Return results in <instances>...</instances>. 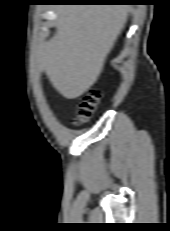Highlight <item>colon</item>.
Returning <instances> with one entry per match:
<instances>
[{
	"instance_id": "obj_1",
	"label": "colon",
	"mask_w": 170,
	"mask_h": 231,
	"mask_svg": "<svg viewBox=\"0 0 170 231\" xmlns=\"http://www.w3.org/2000/svg\"><path fill=\"white\" fill-rule=\"evenodd\" d=\"M101 96V90L97 88L91 89L85 95L79 106L78 115L77 118L74 120V124H81L92 117L93 113L96 111L100 103Z\"/></svg>"
}]
</instances>
